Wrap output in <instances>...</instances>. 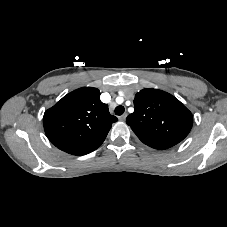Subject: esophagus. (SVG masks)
I'll return each instance as SVG.
<instances>
[{
  "label": "esophagus",
  "mask_w": 227,
  "mask_h": 227,
  "mask_svg": "<svg viewBox=\"0 0 227 227\" xmlns=\"http://www.w3.org/2000/svg\"><path fill=\"white\" fill-rule=\"evenodd\" d=\"M127 117V114L124 113L123 115L119 116V120L124 121Z\"/></svg>",
  "instance_id": "obj_1"
}]
</instances>
